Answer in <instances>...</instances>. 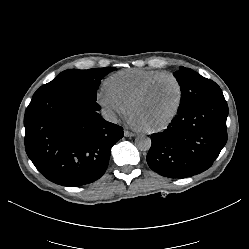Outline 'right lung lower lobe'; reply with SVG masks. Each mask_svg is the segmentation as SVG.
Returning a JSON list of instances; mask_svg holds the SVG:
<instances>
[{
  "label": "right lung lower lobe",
  "mask_w": 249,
  "mask_h": 249,
  "mask_svg": "<svg viewBox=\"0 0 249 249\" xmlns=\"http://www.w3.org/2000/svg\"><path fill=\"white\" fill-rule=\"evenodd\" d=\"M100 106L74 92L32 98L25 111V149L50 181L81 186L105 172L123 128L104 120Z\"/></svg>",
  "instance_id": "98d812e1"
}]
</instances>
